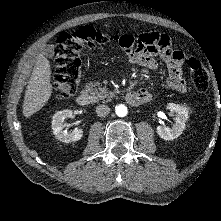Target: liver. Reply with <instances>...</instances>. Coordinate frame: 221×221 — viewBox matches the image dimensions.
<instances>
[{"mask_svg":"<svg viewBox=\"0 0 221 221\" xmlns=\"http://www.w3.org/2000/svg\"><path fill=\"white\" fill-rule=\"evenodd\" d=\"M49 60L40 53L29 79L23 102V115L28 118L39 111L52 94Z\"/></svg>","mask_w":221,"mask_h":221,"instance_id":"liver-1","label":"liver"}]
</instances>
